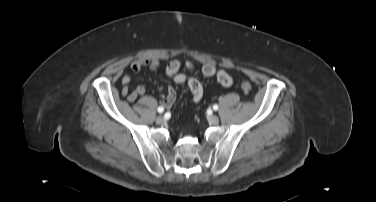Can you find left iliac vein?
<instances>
[{
	"instance_id": "1",
	"label": "left iliac vein",
	"mask_w": 376,
	"mask_h": 202,
	"mask_svg": "<svg viewBox=\"0 0 376 202\" xmlns=\"http://www.w3.org/2000/svg\"><path fill=\"white\" fill-rule=\"evenodd\" d=\"M207 119L208 122L212 125H216L219 123V118L216 115H209Z\"/></svg>"
}]
</instances>
